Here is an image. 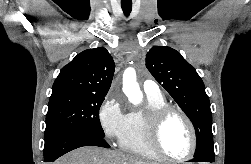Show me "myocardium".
I'll use <instances>...</instances> for the list:
<instances>
[{
    "label": "myocardium",
    "mask_w": 251,
    "mask_h": 164,
    "mask_svg": "<svg viewBox=\"0 0 251 164\" xmlns=\"http://www.w3.org/2000/svg\"><path fill=\"white\" fill-rule=\"evenodd\" d=\"M173 114L180 116L185 121L191 134V149L187 155L180 158H174V157L169 156L165 152L161 144V134H162L163 127L167 119ZM147 126H148L149 143L152 149L154 150V152L161 159L169 161V162H184L191 159L194 156L197 149L196 130L191 119L181 109L174 106L166 105L159 109L152 110L148 112L147 114Z\"/></svg>",
    "instance_id": "obj_1"
}]
</instances>
